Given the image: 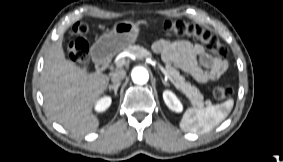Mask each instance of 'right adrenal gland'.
<instances>
[{"mask_svg": "<svg viewBox=\"0 0 283 162\" xmlns=\"http://www.w3.org/2000/svg\"><path fill=\"white\" fill-rule=\"evenodd\" d=\"M119 86H120V83H119V84H116V85H110V86L108 87L109 92H111L112 90L114 91L115 97L117 96V91H118Z\"/></svg>", "mask_w": 283, "mask_h": 162, "instance_id": "right-adrenal-gland-1", "label": "right adrenal gland"}]
</instances>
